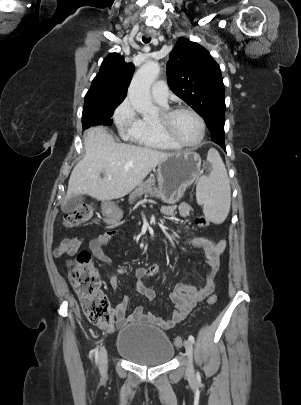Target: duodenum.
<instances>
[{
    "mask_svg": "<svg viewBox=\"0 0 301 405\" xmlns=\"http://www.w3.org/2000/svg\"><path fill=\"white\" fill-rule=\"evenodd\" d=\"M103 206L105 207L104 209H105V217L106 218H111L112 217V206L110 205L111 203H110V201L109 200H104L103 201ZM159 236V233H155L154 235H148L146 238L148 239V240H153V239H155L156 237H158Z\"/></svg>",
    "mask_w": 301,
    "mask_h": 405,
    "instance_id": "410a0bca",
    "label": "duodenum"
}]
</instances>
